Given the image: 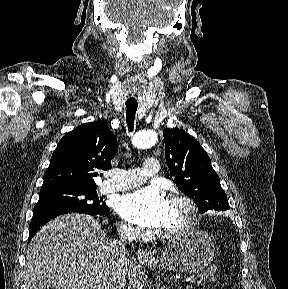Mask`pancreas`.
Listing matches in <instances>:
<instances>
[{
	"mask_svg": "<svg viewBox=\"0 0 288 289\" xmlns=\"http://www.w3.org/2000/svg\"><path fill=\"white\" fill-rule=\"evenodd\" d=\"M214 280V268H209L201 277L199 284L204 285L206 282Z\"/></svg>",
	"mask_w": 288,
	"mask_h": 289,
	"instance_id": "cf45deb5",
	"label": "pancreas"
}]
</instances>
